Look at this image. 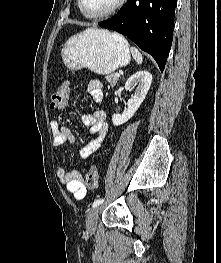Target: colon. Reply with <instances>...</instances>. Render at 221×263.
<instances>
[{
    "label": "colon",
    "instance_id": "1",
    "mask_svg": "<svg viewBox=\"0 0 221 263\" xmlns=\"http://www.w3.org/2000/svg\"><path fill=\"white\" fill-rule=\"evenodd\" d=\"M69 99V87L66 82L61 83L51 96L50 106L55 110H64ZM99 172L96 166H91L84 179L86 188L93 190L98 185Z\"/></svg>",
    "mask_w": 221,
    "mask_h": 263
}]
</instances>
